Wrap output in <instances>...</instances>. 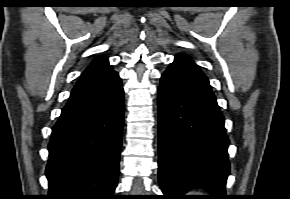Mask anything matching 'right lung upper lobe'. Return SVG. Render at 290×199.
Wrapping results in <instances>:
<instances>
[{"label": "right lung upper lobe", "mask_w": 290, "mask_h": 199, "mask_svg": "<svg viewBox=\"0 0 290 199\" xmlns=\"http://www.w3.org/2000/svg\"><path fill=\"white\" fill-rule=\"evenodd\" d=\"M119 78L108 58L101 57L94 60L81 74L74 86L70 97L87 94L106 87Z\"/></svg>", "instance_id": "right-lung-upper-lobe-1"}]
</instances>
